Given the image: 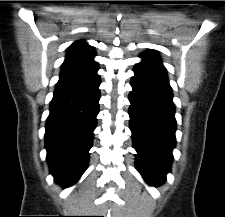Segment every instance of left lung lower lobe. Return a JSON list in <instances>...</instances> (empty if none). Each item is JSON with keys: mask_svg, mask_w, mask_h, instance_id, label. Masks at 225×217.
<instances>
[{"mask_svg": "<svg viewBox=\"0 0 225 217\" xmlns=\"http://www.w3.org/2000/svg\"><path fill=\"white\" fill-rule=\"evenodd\" d=\"M129 94L130 129L136 166L145 181L162 184L170 172L175 147V106L162 63H138Z\"/></svg>", "mask_w": 225, "mask_h": 217, "instance_id": "left-lung-lower-lobe-1", "label": "left lung lower lobe"}]
</instances>
